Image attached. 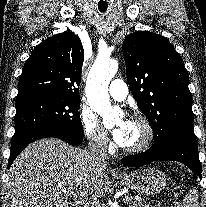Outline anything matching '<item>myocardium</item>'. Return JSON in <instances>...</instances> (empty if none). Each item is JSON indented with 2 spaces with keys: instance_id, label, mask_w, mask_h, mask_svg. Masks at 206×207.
I'll use <instances>...</instances> for the list:
<instances>
[{
  "instance_id": "1",
  "label": "myocardium",
  "mask_w": 206,
  "mask_h": 207,
  "mask_svg": "<svg viewBox=\"0 0 206 207\" xmlns=\"http://www.w3.org/2000/svg\"><path fill=\"white\" fill-rule=\"evenodd\" d=\"M131 121L139 123L144 131H145V137L143 141L138 144L137 146L131 147V148H126L122 147V151L126 154H139L142 152H145L150 148L152 145L154 138H155V131L154 127L151 124V122L144 116L142 115H133L131 118Z\"/></svg>"
}]
</instances>
